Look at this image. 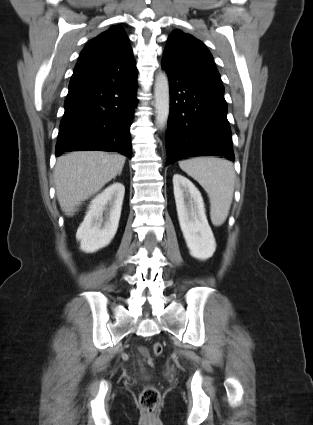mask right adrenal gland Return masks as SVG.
<instances>
[{
	"instance_id": "1",
	"label": "right adrenal gland",
	"mask_w": 313,
	"mask_h": 425,
	"mask_svg": "<svg viewBox=\"0 0 313 425\" xmlns=\"http://www.w3.org/2000/svg\"><path fill=\"white\" fill-rule=\"evenodd\" d=\"M121 173H122V171H120V172L118 173V176H120V175H121Z\"/></svg>"
}]
</instances>
